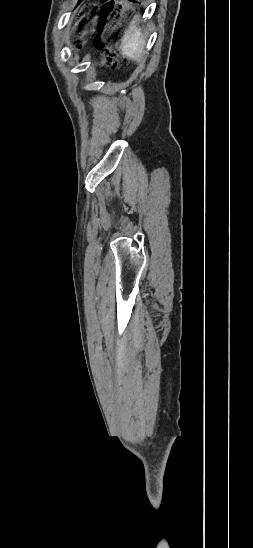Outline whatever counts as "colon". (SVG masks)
<instances>
[{
    "label": "colon",
    "instance_id": "colon-1",
    "mask_svg": "<svg viewBox=\"0 0 253 548\" xmlns=\"http://www.w3.org/2000/svg\"><path fill=\"white\" fill-rule=\"evenodd\" d=\"M122 4L118 0H101V19L97 20V12L91 9L83 14L75 29L77 44L89 29L95 27L99 33L94 38L97 49L102 51V64L116 67L125 64L118 48L121 40Z\"/></svg>",
    "mask_w": 253,
    "mask_h": 548
}]
</instances>
